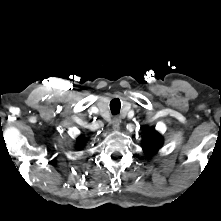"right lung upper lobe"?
<instances>
[{"mask_svg": "<svg viewBox=\"0 0 221 221\" xmlns=\"http://www.w3.org/2000/svg\"><path fill=\"white\" fill-rule=\"evenodd\" d=\"M86 143V139L83 137H79L78 138V142H77V146L78 148H82Z\"/></svg>", "mask_w": 221, "mask_h": 221, "instance_id": "obj_1", "label": "right lung upper lobe"}]
</instances>
